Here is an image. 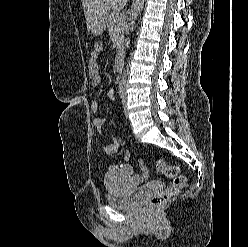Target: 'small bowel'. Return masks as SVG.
<instances>
[{
  "instance_id": "c3829d8e",
  "label": "small bowel",
  "mask_w": 248,
  "mask_h": 247,
  "mask_svg": "<svg viewBox=\"0 0 248 247\" xmlns=\"http://www.w3.org/2000/svg\"><path fill=\"white\" fill-rule=\"evenodd\" d=\"M101 52H102V47L100 49H94L91 54L90 60L88 62V73L90 77V82L92 87L94 88L99 86L102 81L99 64H98V59L100 57ZM98 109H99V102L93 101L90 105L91 112L96 113ZM93 124L97 129L98 133L101 134L102 128L105 124V118L102 116H98L94 118ZM120 145H121V140L115 138L110 143L105 144L103 146V149L107 154L112 155L119 150ZM129 159H130V153L126 152L125 160L128 161ZM112 169H118L126 173L129 178V182L132 186L139 185L144 179L141 175L133 174V167L129 163L110 166L109 170Z\"/></svg>"
}]
</instances>
